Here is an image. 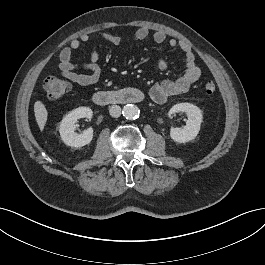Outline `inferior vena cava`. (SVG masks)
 Listing matches in <instances>:
<instances>
[{
  "mask_svg": "<svg viewBox=\"0 0 265 265\" xmlns=\"http://www.w3.org/2000/svg\"><path fill=\"white\" fill-rule=\"evenodd\" d=\"M109 113L112 117H119L121 115V107L118 105H112L109 109Z\"/></svg>",
  "mask_w": 265,
  "mask_h": 265,
  "instance_id": "inferior-vena-cava-1",
  "label": "inferior vena cava"
}]
</instances>
